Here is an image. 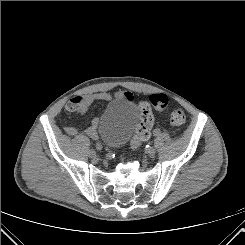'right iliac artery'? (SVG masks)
<instances>
[{
  "mask_svg": "<svg viewBox=\"0 0 245 245\" xmlns=\"http://www.w3.org/2000/svg\"><path fill=\"white\" fill-rule=\"evenodd\" d=\"M94 148H95L96 150H102V146H101L100 143H95Z\"/></svg>",
  "mask_w": 245,
  "mask_h": 245,
  "instance_id": "1",
  "label": "right iliac artery"
}]
</instances>
